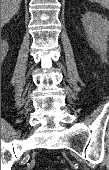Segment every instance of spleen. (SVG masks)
Wrapping results in <instances>:
<instances>
[{"instance_id": "3e777b00", "label": "spleen", "mask_w": 109, "mask_h": 170, "mask_svg": "<svg viewBox=\"0 0 109 170\" xmlns=\"http://www.w3.org/2000/svg\"><path fill=\"white\" fill-rule=\"evenodd\" d=\"M90 2H97L105 7L109 6V0H88Z\"/></svg>"}]
</instances>
